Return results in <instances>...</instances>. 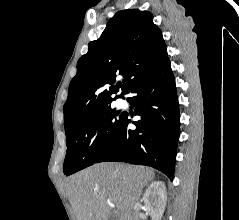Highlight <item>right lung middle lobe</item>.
<instances>
[{"label": "right lung middle lobe", "mask_w": 239, "mask_h": 220, "mask_svg": "<svg viewBox=\"0 0 239 220\" xmlns=\"http://www.w3.org/2000/svg\"><path fill=\"white\" fill-rule=\"evenodd\" d=\"M124 115L110 105L103 106L80 117L65 130L64 173L71 175L94 164L115 137Z\"/></svg>", "instance_id": "dd1d6c3e"}]
</instances>
